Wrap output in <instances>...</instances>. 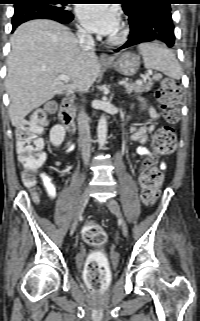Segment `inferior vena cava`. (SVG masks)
I'll return each instance as SVG.
<instances>
[{
    "label": "inferior vena cava",
    "mask_w": 200,
    "mask_h": 321,
    "mask_svg": "<svg viewBox=\"0 0 200 321\" xmlns=\"http://www.w3.org/2000/svg\"><path fill=\"white\" fill-rule=\"evenodd\" d=\"M78 42L80 47L85 51L94 50V40L91 34L84 29H79L77 32ZM80 91H84L81 89ZM78 131H79V142L82 152V158L85 164H88L91 157V136L89 127V118L84 111H81L77 117Z\"/></svg>",
    "instance_id": "obj_1"
}]
</instances>
